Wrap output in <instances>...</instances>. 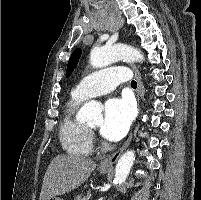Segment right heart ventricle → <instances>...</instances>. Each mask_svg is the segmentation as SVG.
I'll return each instance as SVG.
<instances>
[{
    "label": "right heart ventricle",
    "mask_w": 201,
    "mask_h": 200,
    "mask_svg": "<svg viewBox=\"0 0 201 200\" xmlns=\"http://www.w3.org/2000/svg\"><path fill=\"white\" fill-rule=\"evenodd\" d=\"M86 99L71 95L67 101L59 128L63 149L71 155L86 156L92 151V137L88 126L79 120L77 110Z\"/></svg>",
    "instance_id": "obj_1"
}]
</instances>
